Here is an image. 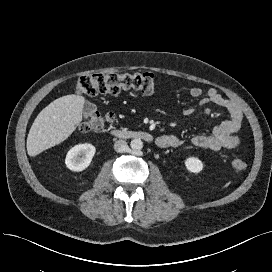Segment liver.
I'll return each instance as SVG.
<instances>
[{"label": "liver", "mask_w": 272, "mask_h": 272, "mask_svg": "<svg viewBox=\"0 0 272 272\" xmlns=\"http://www.w3.org/2000/svg\"><path fill=\"white\" fill-rule=\"evenodd\" d=\"M85 98L66 95L46 106L34 120L28 137L27 152L36 156L66 140L82 121Z\"/></svg>", "instance_id": "obj_1"}]
</instances>
